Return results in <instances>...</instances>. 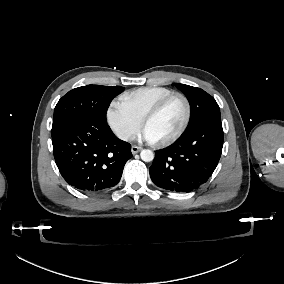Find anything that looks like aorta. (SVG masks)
Returning <instances> with one entry per match:
<instances>
[{"label": "aorta", "instance_id": "aorta-1", "mask_svg": "<svg viewBox=\"0 0 284 284\" xmlns=\"http://www.w3.org/2000/svg\"><path fill=\"white\" fill-rule=\"evenodd\" d=\"M140 156L144 162H151L154 159V153L149 149L142 150Z\"/></svg>", "mask_w": 284, "mask_h": 284}]
</instances>
